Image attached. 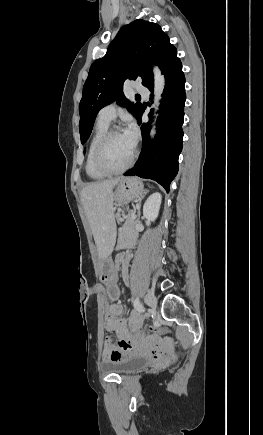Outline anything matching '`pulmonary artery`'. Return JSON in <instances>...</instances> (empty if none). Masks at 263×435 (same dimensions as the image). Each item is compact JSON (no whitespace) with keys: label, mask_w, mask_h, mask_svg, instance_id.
<instances>
[{"label":"pulmonary artery","mask_w":263,"mask_h":435,"mask_svg":"<svg viewBox=\"0 0 263 435\" xmlns=\"http://www.w3.org/2000/svg\"><path fill=\"white\" fill-rule=\"evenodd\" d=\"M134 90L138 93L143 94V95L148 94V89L140 83L134 84ZM116 115H117V106L115 103H111V104L104 106L99 111L98 116H97V120L110 124V122L116 117Z\"/></svg>","instance_id":"1"}]
</instances>
